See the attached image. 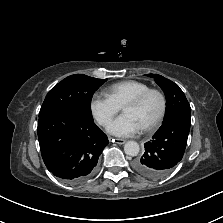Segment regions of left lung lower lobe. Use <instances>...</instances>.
Returning a JSON list of instances; mask_svg holds the SVG:
<instances>
[{"mask_svg":"<svg viewBox=\"0 0 223 223\" xmlns=\"http://www.w3.org/2000/svg\"><path fill=\"white\" fill-rule=\"evenodd\" d=\"M191 121L175 118L163 123L145 143L144 154L136 159L133 168L149 179H161L181 161L185 152Z\"/></svg>","mask_w":223,"mask_h":223,"instance_id":"obj_1","label":"left lung lower lobe"}]
</instances>
